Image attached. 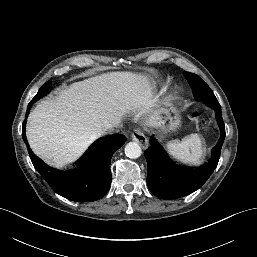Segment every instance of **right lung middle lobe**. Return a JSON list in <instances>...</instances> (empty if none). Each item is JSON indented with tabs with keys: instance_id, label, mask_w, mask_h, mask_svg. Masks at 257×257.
I'll use <instances>...</instances> for the list:
<instances>
[{
	"instance_id": "obj_1",
	"label": "right lung middle lobe",
	"mask_w": 257,
	"mask_h": 257,
	"mask_svg": "<svg viewBox=\"0 0 257 257\" xmlns=\"http://www.w3.org/2000/svg\"><path fill=\"white\" fill-rule=\"evenodd\" d=\"M51 81L46 82L38 91L37 95L32 99V103L37 101L41 96L49 92Z\"/></svg>"
}]
</instances>
